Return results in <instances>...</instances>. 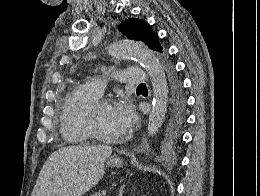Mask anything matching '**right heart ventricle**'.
I'll list each match as a JSON object with an SVG mask.
<instances>
[{
    "instance_id": "right-heart-ventricle-1",
    "label": "right heart ventricle",
    "mask_w": 260,
    "mask_h": 196,
    "mask_svg": "<svg viewBox=\"0 0 260 196\" xmlns=\"http://www.w3.org/2000/svg\"><path fill=\"white\" fill-rule=\"evenodd\" d=\"M100 97L90 84L79 85L74 89L65 105L61 121V133L68 144L87 143L94 137L84 123L91 105Z\"/></svg>"
}]
</instances>
